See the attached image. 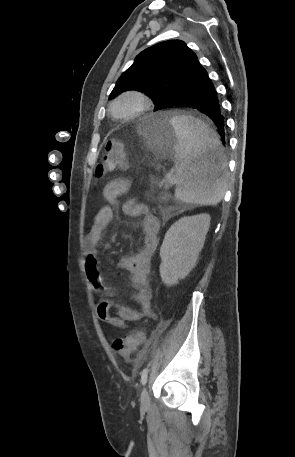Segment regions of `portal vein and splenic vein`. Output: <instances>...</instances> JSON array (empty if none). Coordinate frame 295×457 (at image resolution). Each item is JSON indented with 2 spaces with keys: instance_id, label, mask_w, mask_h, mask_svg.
Returning <instances> with one entry per match:
<instances>
[{
  "instance_id": "portal-vein-and-splenic-vein-1",
  "label": "portal vein and splenic vein",
  "mask_w": 295,
  "mask_h": 457,
  "mask_svg": "<svg viewBox=\"0 0 295 457\" xmlns=\"http://www.w3.org/2000/svg\"><path fill=\"white\" fill-rule=\"evenodd\" d=\"M174 170H171L169 173L166 174L164 181L174 182L175 178L173 177Z\"/></svg>"
}]
</instances>
